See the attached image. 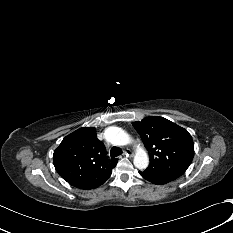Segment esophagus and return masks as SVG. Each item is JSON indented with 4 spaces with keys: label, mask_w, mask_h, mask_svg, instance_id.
<instances>
[{
    "label": "esophagus",
    "mask_w": 233,
    "mask_h": 233,
    "mask_svg": "<svg viewBox=\"0 0 233 233\" xmlns=\"http://www.w3.org/2000/svg\"><path fill=\"white\" fill-rule=\"evenodd\" d=\"M124 155L127 156V157H129V156L132 157L133 152L131 150L127 149V150L124 151Z\"/></svg>",
    "instance_id": "1"
}]
</instances>
